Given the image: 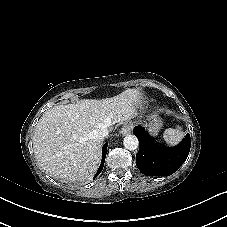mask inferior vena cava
<instances>
[{"instance_id": "inferior-vena-cava-1", "label": "inferior vena cava", "mask_w": 227, "mask_h": 227, "mask_svg": "<svg viewBox=\"0 0 227 227\" xmlns=\"http://www.w3.org/2000/svg\"><path fill=\"white\" fill-rule=\"evenodd\" d=\"M95 135L99 139H104V138L108 137V135H109V127H107V126L100 127L99 129H97L95 131Z\"/></svg>"}]
</instances>
